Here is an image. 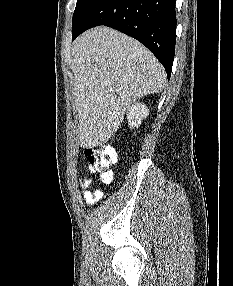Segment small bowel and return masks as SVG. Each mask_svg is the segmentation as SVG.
<instances>
[{
    "instance_id": "1",
    "label": "small bowel",
    "mask_w": 233,
    "mask_h": 286,
    "mask_svg": "<svg viewBox=\"0 0 233 286\" xmlns=\"http://www.w3.org/2000/svg\"><path fill=\"white\" fill-rule=\"evenodd\" d=\"M80 183L82 188L84 189L83 193H82V197L84 202L87 205H94L96 204L102 197V194L100 191H90L89 190V186L91 184V180L89 178L86 179H80Z\"/></svg>"
}]
</instances>
